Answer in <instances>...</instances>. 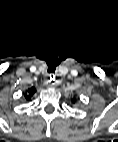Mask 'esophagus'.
Masks as SVG:
<instances>
[{
  "label": "esophagus",
  "instance_id": "obj_1",
  "mask_svg": "<svg viewBox=\"0 0 118 142\" xmlns=\"http://www.w3.org/2000/svg\"><path fill=\"white\" fill-rule=\"evenodd\" d=\"M46 86L48 87H54L57 84V81L55 80V78H52L51 75L48 76V78L45 81Z\"/></svg>",
  "mask_w": 118,
  "mask_h": 142
}]
</instances>
